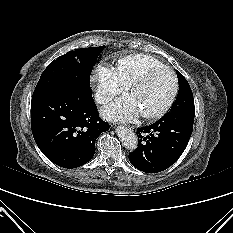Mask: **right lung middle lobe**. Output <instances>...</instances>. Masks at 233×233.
Masks as SVG:
<instances>
[{"label": "right lung middle lobe", "mask_w": 233, "mask_h": 233, "mask_svg": "<svg viewBox=\"0 0 233 233\" xmlns=\"http://www.w3.org/2000/svg\"><path fill=\"white\" fill-rule=\"evenodd\" d=\"M104 46L81 48L58 57L42 73L33 96L64 87L70 82L90 84V74Z\"/></svg>", "instance_id": "1"}]
</instances>
